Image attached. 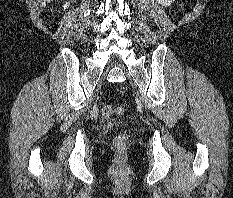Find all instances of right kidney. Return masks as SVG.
Listing matches in <instances>:
<instances>
[{
  "label": "right kidney",
  "mask_w": 233,
  "mask_h": 198,
  "mask_svg": "<svg viewBox=\"0 0 233 198\" xmlns=\"http://www.w3.org/2000/svg\"><path fill=\"white\" fill-rule=\"evenodd\" d=\"M69 2H66L64 5H63V7H64V9H66V8H68L69 7Z\"/></svg>",
  "instance_id": "obj_1"
}]
</instances>
